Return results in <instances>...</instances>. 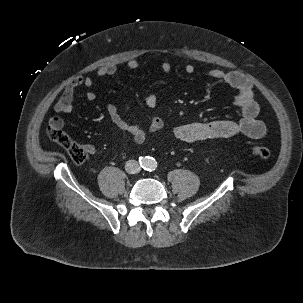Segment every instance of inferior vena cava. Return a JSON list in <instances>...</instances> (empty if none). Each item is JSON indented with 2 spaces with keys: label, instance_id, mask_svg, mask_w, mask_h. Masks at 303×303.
<instances>
[{
  "label": "inferior vena cava",
  "instance_id": "602c4592",
  "mask_svg": "<svg viewBox=\"0 0 303 303\" xmlns=\"http://www.w3.org/2000/svg\"><path fill=\"white\" fill-rule=\"evenodd\" d=\"M125 169L130 174H135L140 171V166L137 161L129 160L126 162Z\"/></svg>",
  "mask_w": 303,
  "mask_h": 303
}]
</instances>
